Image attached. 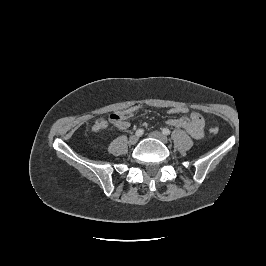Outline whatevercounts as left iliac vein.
I'll use <instances>...</instances> for the list:
<instances>
[{
	"instance_id": "left-iliac-vein-1",
	"label": "left iliac vein",
	"mask_w": 266,
	"mask_h": 266,
	"mask_svg": "<svg viewBox=\"0 0 266 266\" xmlns=\"http://www.w3.org/2000/svg\"><path fill=\"white\" fill-rule=\"evenodd\" d=\"M150 137L152 138H155V139H158L160 140L161 142L163 143H167L168 142V138L166 135L162 134L161 132L159 131H153L149 134Z\"/></svg>"
}]
</instances>
